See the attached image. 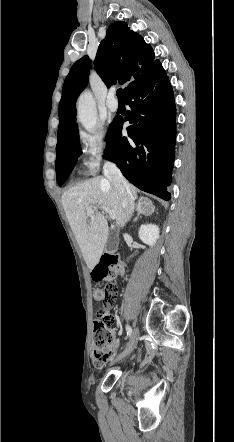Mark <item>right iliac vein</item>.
Masks as SVG:
<instances>
[{"instance_id":"1","label":"right iliac vein","mask_w":234,"mask_h":442,"mask_svg":"<svg viewBox=\"0 0 234 442\" xmlns=\"http://www.w3.org/2000/svg\"><path fill=\"white\" fill-rule=\"evenodd\" d=\"M138 336H139V331L137 328H135L132 333L130 341L128 342L125 350L119 355L118 359H122L128 356L135 349L138 342Z\"/></svg>"}]
</instances>
